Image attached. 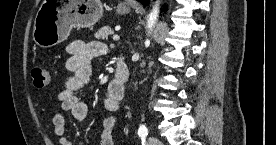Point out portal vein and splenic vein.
<instances>
[{
	"instance_id": "portal-vein-and-splenic-vein-1",
	"label": "portal vein and splenic vein",
	"mask_w": 276,
	"mask_h": 145,
	"mask_svg": "<svg viewBox=\"0 0 276 145\" xmlns=\"http://www.w3.org/2000/svg\"><path fill=\"white\" fill-rule=\"evenodd\" d=\"M120 39V37L118 35H113V40L114 41H118Z\"/></svg>"
}]
</instances>
